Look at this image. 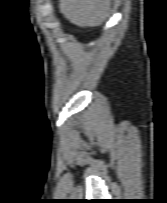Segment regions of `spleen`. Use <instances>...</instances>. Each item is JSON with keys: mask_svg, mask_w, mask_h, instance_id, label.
Here are the masks:
<instances>
[{"mask_svg": "<svg viewBox=\"0 0 167 203\" xmlns=\"http://www.w3.org/2000/svg\"><path fill=\"white\" fill-rule=\"evenodd\" d=\"M60 12L74 25H101L110 10V0H60Z\"/></svg>", "mask_w": 167, "mask_h": 203, "instance_id": "obj_1", "label": "spleen"}]
</instances>
